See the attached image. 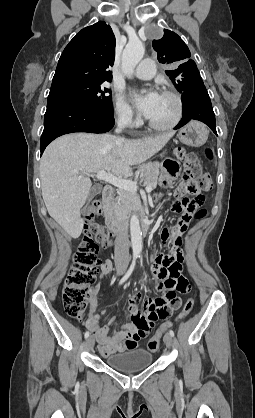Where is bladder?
<instances>
[{
  "label": "bladder",
  "instance_id": "31cf9c89",
  "mask_svg": "<svg viewBox=\"0 0 255 418\" xmlns=\"http://www.w3.org/2000/svg\"><path fill=\"white\" fill-rule=\"evenodd\" d=\"M111 368L121 372H135L147 368L153 362V355L149 350L136 349L120 354H113L105 359Z\"/></svg>",
  "mask_w": 255,
  "mask_h": 418
}]
</instances>
